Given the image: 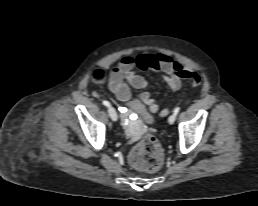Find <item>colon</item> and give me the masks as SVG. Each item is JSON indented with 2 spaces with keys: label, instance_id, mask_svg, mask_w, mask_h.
Instances as JSON below:
<instances>
[{
  "label": "colon",
  "instance_id": "5ec220e1",
  "mask_svg": "<svg viewBox=\"0 0 258 206\" xmlns=\"http://www.w3.org/2000/svg\"><path fill=\"white\" fill-rule=\"evenodd\" d=\"M96 79L103 77L102 71H96ZM130 164L139 170L156 171L163 163V149L159 141L150 134L145 135L134 145L129 155Z\"/></svg>",
  "mask_w": 258,
  "mask_h": 206
}]
</instances>
